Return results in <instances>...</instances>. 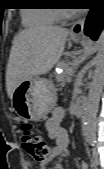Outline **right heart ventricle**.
I'll list each match as a JSON object with an SVG mask.
<instances>
[{"mask_svg": "<svg viewBox=\"0 0 104 169\" xmlns=\"http://www.w3.org/2000/svg\"><path fill=\"white\" fill-rule=\"evenodd\" d=\"M22 17L30 26L52 25L60 19L56 9H29L22 13Z\"/></svg>", "mask_w": 104, "mask_h": 169, "instance_id": "e07e8e85", "label": "right heart ventricle"}]
</instances>
